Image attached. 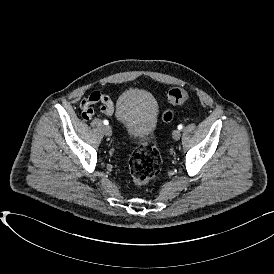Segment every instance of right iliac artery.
I'll list each match as a JSON object with an SVG mask.
<instances>
[{
	"instance_id": "right-iliac-artery-1",
	"label": "right iliac artery",
	"mask_w": 274,
	"mask_h": 274,
	"mask_svg": "<svg viewBox=\"0 0 274 274\" xmlns=\"http://www.w3.org/2000/svg\"><path fill=\"white\" fill-rule=\"evenodd\" d=\"M103 123H104L105 125H108V124H109L108 120H104Z\"/></svg>"
}]
</instances>
